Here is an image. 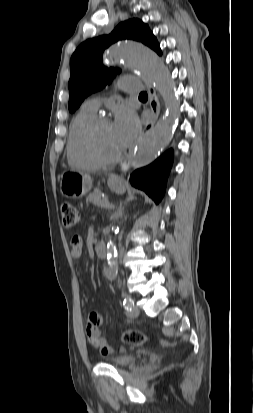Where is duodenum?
<instances>
[{"label": "duodenum", "instance_id": "duodenum-1", "mask_svg": "<svg viewBox=\"0 0 253 413\" xmlns=\"http://www.w3.org/2000/svg\"><path fill=\"white\" fill-rule=\"evenodd\" d=\"M95 253L100 258H104L106 256V245L103 241L95 245Z\"/></svg>", "mask_w": 253, "mask_h": 413}]
</instances>
